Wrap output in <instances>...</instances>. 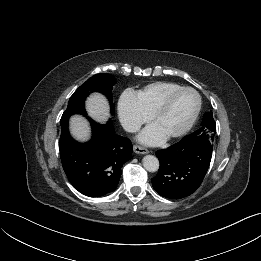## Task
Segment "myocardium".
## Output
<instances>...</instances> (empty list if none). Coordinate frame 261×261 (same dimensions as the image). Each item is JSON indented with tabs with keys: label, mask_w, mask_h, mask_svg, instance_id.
<instances>
[{
	"label": "myocardium",
	"mask_w": 261,
	"mask_h": 261,
	"mask_svg": "<svg viewBox=\"0 0 261 261\" xmlns=\"http://www.w3.org/2000/svg\"><path fill=\"white\" fill-rule=\"evenodd\" d=\"M188 91L193 92L197 97L196 108H195L191 118L189 119L187 124L182 129H180L179 131H177L175 133L165 136V138L167 140L180 138V137L184 136L187 132H189L190 129L193 127V125L195 124V122L200 114L201 107H202V98H201V95L199 94V92L191 87H181L177 90H174L165 96V98L161 101V103L156 107V109L153 111V113L150 116L151 122L154 123L155 120L168 108L170 102L172 101V99L174 97H176L177 95H179L183 92H188Z\"/></svg>",
	"instance_id": "f54148a6"
}]
</instances>
